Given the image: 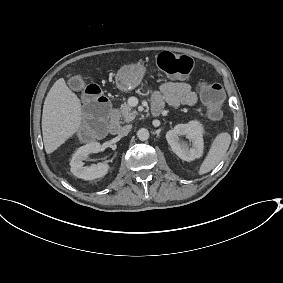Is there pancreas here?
Wrapping results in <instances>:
<instances>
[{
  "instance_id": "1",
  "label": "pancreas",
  "mask_w": 283,
  "mask_h": 283,
  "mask_svg": "<svg viewBox=\"0 0 283 283\" xmlns=\"http://www.w3.org/2000/svg\"><path fill=\"white\" fill-rule=\"evenodd\" d=\"M121 110V118L127 121H132L138 115L136 110L129 105L128 101H124L123 105L120 108Z\"/></svg>"
}]
</instances>
